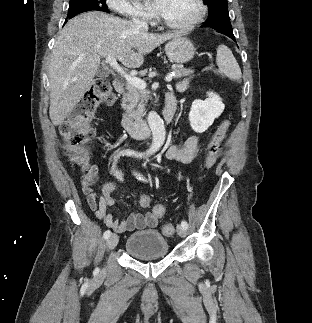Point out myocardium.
Returning a JSON list of instances; mask_svg holds the SVG:
<instances>
[{"instance_id": "1", "label": "myocardium", "mask_w": 312, "mask_h": 323, "mask_svg": "<svg viewBox=\"0 0 312 323\" xmlns=\"http://www.w3.org/2000/svg\"><path fill=\"white\" fill-rule=\"evenodd\" d=\"M194 2L200 6L199 10L196 11V21H206L207 15L210 11V3H206V0H194ZM160 25H170L171 27H190L194 25V18H186V20H173V18H163L162 14H159Z\"/></svg>"}]
</instances>
